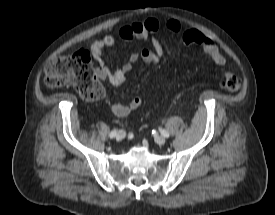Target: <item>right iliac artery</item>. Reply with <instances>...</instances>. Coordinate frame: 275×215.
Listing matches in <instances>:
<instances>
[{
    "mask_svg": "<svg viewBox=\"0 0 275 215\" xmlns=\"http://www.w3.org/2000/svg\"><path fill=\"white\" fill-rule=\"evenodd\" d=\"M116 133H117L116 130L111 131L109 134V137L114 138L116 136Z\"/></svg>",
    "mask_w": 275,
    "mask_h": 215,
    "instance_id": "82829eb1",
    "label": "right iliac artery"
}]
</instances>
